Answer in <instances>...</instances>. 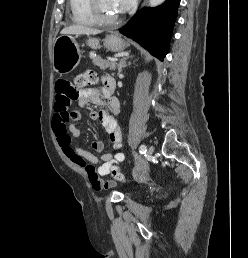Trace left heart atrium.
I'll use <instances>...</instances> for the list:
<instances>
[{"mask_svg": "<svg viewBox=\"0 0 248 258\" xmlns=\"http://www.w3.org/2000/svg\"><path fill=\"white\" fill-rule=\"evenodd\" d=\"M113 1H114L116 10L119 13H124L127 10H129L135 2V0H113Z\"/></svg>", "mask_w": 248, "mask_h": 258, "instance_id": "obj_1", "label": "left heart atrium"}]
</instances>
